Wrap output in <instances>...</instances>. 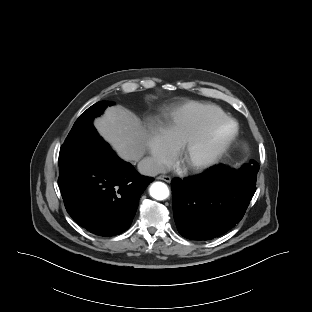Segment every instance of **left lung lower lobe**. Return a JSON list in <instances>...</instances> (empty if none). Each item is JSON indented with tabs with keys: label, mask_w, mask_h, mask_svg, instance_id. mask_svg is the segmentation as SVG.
<instances>
[{
	"label": "left lung lower lobe",
	"mask_w": 312,
	"mask_h": 312,
	"mask_svg": "<svg viewBox=\"0 0 312 312\" xmlns=\"http://www.w3.org/2000/svg\"><path fill=\"white\" fill-rule=\"evenodd\" d=\"M174 220L179 233L191 240H209L233 228L256 191L235 169L222 164L184 180H172Z\"/></svg>",
	"instance_id": "1"
}]
</instances>
